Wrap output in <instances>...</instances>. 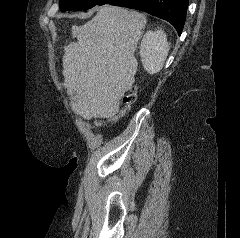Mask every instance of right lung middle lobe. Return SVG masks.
Wrapping results in <instances>:
<instances>
[{"label": "right lung middle lobe", "mask_w": 240, "mask_h": 238, "mask_svg": "<svg viewBox=\"0 0 240 238\" xmlns=\"http://www.w3.org/2000/svg\"><path fill=\"white\" fill-rule=\"evenodd\" d=\"M113 0H60V10H86L96 5L109 4Z\"/></svg>", "instance_id": "obj_1"}]
</instances>
